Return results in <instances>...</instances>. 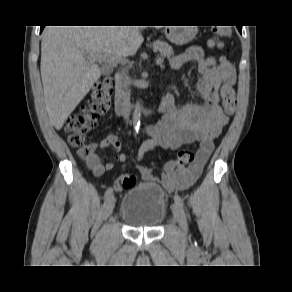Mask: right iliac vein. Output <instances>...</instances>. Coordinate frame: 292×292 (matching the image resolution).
I'll use <instances>...</instances> for the list:
<instances>
[{"label": "right iliac vein", "instance_id": "right-iliac-vein-1", "mask_svg": "<svg viewBox=\"0 0 292 292\" xmlns=\"http://www.w3.org/2000/svg\"><path fill=\"white\" fill-rule=\"evenodd\" d=\"M115 202H116V199H115V197L113 195H111L106 200V202L104 204V207H103V217L105 219H107L111 215V213H112V211L114 209V206H115Z\"/></svg>", "mask_w": 292, "mask_h": 292}]
</instances>
